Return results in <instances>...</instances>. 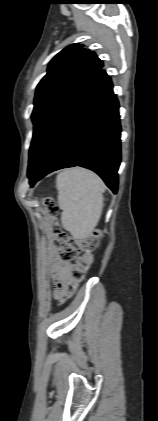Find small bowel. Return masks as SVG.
I'll return each mask as SVG.
<instances>
[{"instance_id":"1","label":"small bowel","mask_w":158,"mask_h":421,"mask_svg":"<svg viewBox=\"0 0 158 421\" xmlns=\"http://www.w3.org/2000/svg\"><path fill=\"white\" fill-rule=\"evenodd\" d=\"M50 262L51 274L55 285L54 297L56 299H61L66 296L65 284L68 280L71 264L69 262L62 261L58 257L55 249H51Z\"/></svg>"}]
</instances>
